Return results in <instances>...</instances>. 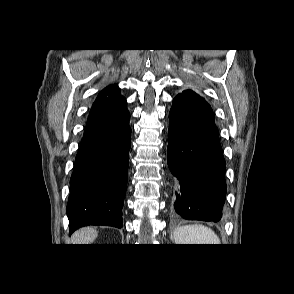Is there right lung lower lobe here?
I'll return each mask as SVG.
<instances>
[{"mask_svg":"<svg viewBox=\"0 0 294 294\" xmlns=\"http://www.w3.org/2000/svg\"><path fill=\"white\" fill-rule=\"evenodd\" d=\"M126 100L92 107L67 205L70 234L87 225L122 227L131 129Z\"/></svg>","mask_w":294,"mask_h":294,"instance_id":"98d812e1","label":"right lung lower lobe"}]
</instances>
